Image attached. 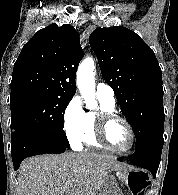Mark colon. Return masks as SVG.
I'll return each instance as SVG.
<instances>
[{"mask_svg":"<svg viewBox=\"0 0 178 195\" xmlns=\"http://www.w3.org/2000/svg\"><path fill=\"white\" fill-rule=\"evenodd\" d=\"M150 183L149 176L144 172H134L130 179V188L133 195H144V190Z\"/></svg>","mask_w":178,"mask_h":195,"instance_id":"1","label":"colon"}]
</instances>
